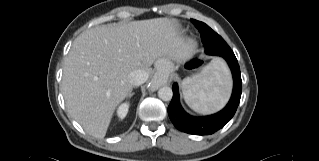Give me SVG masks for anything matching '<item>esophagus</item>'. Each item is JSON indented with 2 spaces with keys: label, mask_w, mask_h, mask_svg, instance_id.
Returning <instances> with one entry per match:
<instances>
[{
  "label": "esophagus",
  "mask_w": 319,
  "mask_h": 161,
  "mask_svg": "<svg viewBox=\"0 0 319 161\" xmlns=\"http://www.w3.org/2000/svg\"><path fill=\"white\" fill-rule=\"evenodd\" d=\"M159 86H160V82L159 81H153L151 83V88L158 89Z\"/></svg>",
  "instance_id": "esophagus-1"
}]
</instances>
